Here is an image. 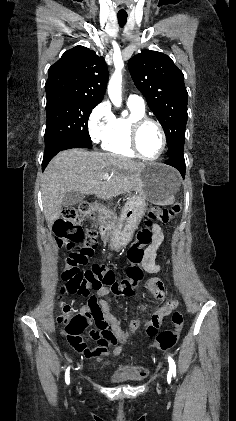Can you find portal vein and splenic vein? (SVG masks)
I'll list each match as a JSON object with an SVG mask.
<instances>
[{"mask_svg":"<svg viewBox=\"0 0 236 421\" xmlns=\"http://www.w3.org/2000/svg\"><path fill=\"white\" fill-rule=\"evenodd\" d=\"M103 178H110L109 174H103Z\"/></svg>","mask_w":236,"mask_h":421,"instance_id":"18ae733b","label":"portal vein and splenic vein"}]
</instances>
